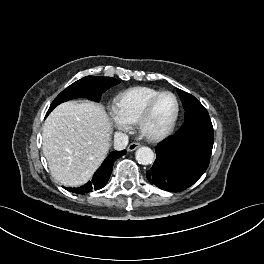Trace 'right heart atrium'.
Returning a JSON list of instances; mask_svg holds the SVG:
<instances>
[{
    "mask_svg": "<svg viewBox=\"0 0 264 264\" xmlns=\"http://www.w3.org/2000/svg\"><path fill=\"white\" fill-rule=\"evenodd\" d=\"M112 122L114 126L122 131H126L129 129V124L124 121L117 113L115 110H111L110 112Z\"/></svg>",
    "mask_w": 264,
    "mask_h": 264,
    "instance_id": "obj_1",
    "label": "right heart atrium"
}]
</instances>
